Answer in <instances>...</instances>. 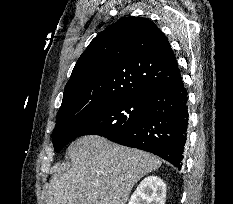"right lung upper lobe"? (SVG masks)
Segmentation results:
<instances>
[{
    "label": "right lung upper lobe",
    "instance_id": "cb5924a9",
    "mask_svg": "<svg viewBox=\"0 0 233 204\" xmlns=\"http://www.w3.org/2000/svg\"><path fill=\"white\" fill-rule=\"evenodd\" d=\"M177 67L170 43L152 21L123 18L81 54L65 86L56 126L110 101L149 95Z\"/></svg>",
    "mask_w": 233,
    "mask_h": 204
}]
</instances>
